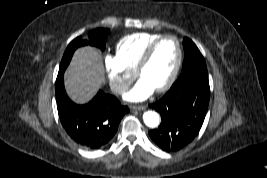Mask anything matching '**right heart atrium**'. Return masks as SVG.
<instances>
[{
  "mask_svg": "<svg viewBox=\"0 0 267 178\" xmlns=\"http://www.w3.org/2000/svg\"><path fill=\"white\" fill-rule=\"evenodd\" d=\"M104 68L109 85L116 94L124 93L135 77V73L126 69L116 56L106 55Z\"/></svg>",
  "mask_w": 267,
  "mask_h": 178,
  "instance_id": "d8ad5b80",
  "label": "right heart atrium"
}]
</instances>
